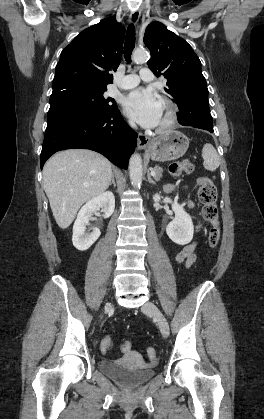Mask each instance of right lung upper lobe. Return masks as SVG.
Here are the masks:
<instances>
[{
  "label": "right lung upper lobe",
  "instance_id": "obj_1",
  "mask_svg": "<svg viewBox=\"0 0 264 419\" xmlns=\"http://www.w3.org/2000/svg\"><path fill=\"white\" fill-rule=\"evenodd\" d=\"M124 34V27L112 17L78 34L61 52L52 94L70 87L106 88L113 83L109 71L120 63Z\"/></svg>",
  "mask_w": 264,
  "mask_h": 419
}]
</instances>
